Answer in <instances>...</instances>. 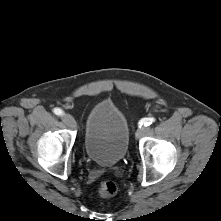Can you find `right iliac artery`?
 I'll return each instance as SVG.
<instances>
[{"label": "right iliac artery", "mask_w": 221, "mask_h": 221, "mask_svg": "<svg viewBox=\"0 0 221 221\" xmlns=\"http://www.w3.org/2000/svg\"><path fill=\"white\" fill-rule=\"evenodd\" d=\"M54 113H55L56 115L61 116V115L63 114V111H62L60 108H55V109H54Z\"/></svg>", "instance_id": "1"}]
</instances>
